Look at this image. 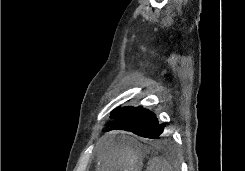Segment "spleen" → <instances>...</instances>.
Segmentation results:
<instances>
[{
	"label": "spleen",
	"instance_id": "spleen-1",
	"mask_svg": "<svg viewBox=\"0 0 245 171\" xmlns=\"http://www.w3.org/2000/svg\"><path fill=\"white\" fill-rule=\"evenodd\" d=\"M146 171H174L171 164L163 157L149 160Z\"/></svg>",
	"mask_w": 245,
	"mask_h": 171
}]
</instances>
